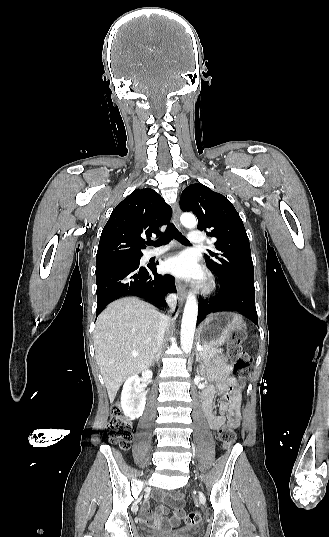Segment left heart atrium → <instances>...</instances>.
<instances>
[{
    "label": "left heart atrium",
    "instance_id": "obj_1",
    "mask_svg": "<svg viewBox=\"0 0 329 537\" xmlns=\"http://www.w3.org/2000/svg\"><path fill=\"white\" fill-rule=\"evenodd\" d=\"M165 269L178 277L197 280L203 277V271L197 264L195 256L187 252L170 257L165 262Z\"/></svg>",
    "mask_w": 329,
    "mask_h": 537
}]
</instances>
